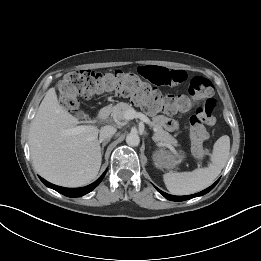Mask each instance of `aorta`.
<instances>
[{"label":"aorta","instance_id":"1","mask_svg":"<svg viewBox=\"0 0 261 261\" xmlns=\"http://www.w3.org/2000/svg\"><path fill=\"white\" fill-rule=\"evenodd\" d=\"M126 143L132 147L138 146L140 143L139 135L137 133H129L126 137Z\"/></svg>","mask_w":261,"mask_h":261}]
</instances>
